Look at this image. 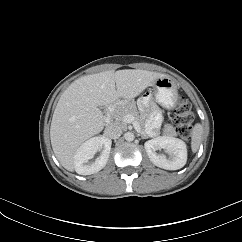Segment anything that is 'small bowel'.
I'll return each instance as SVG.
<instances>
[{
  "mask_svg": "<svg viewBox=\"0 0 242 242\" xmlns=\"http://www.w3.org/2000/svg\"><path fill=\"white\" fill-rule=\"evenodd\" d=\"M161 123V115L158 111H153L150 113L148 118L147 127L150 132H154Z\"/></svg>",
  "mask_w": 242,
  "mask_h": 242,
  "instance_id": "small-bowel-1",
  "label": "small bowel"
}]
</instances>
